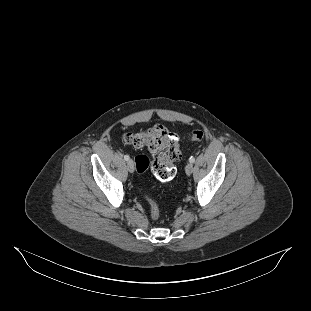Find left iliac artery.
Here are the masks:
<instances>
[{
    "mask_svg": "<svg viewBox=\"0 0 311 311\" xmlns=\"http://www.w3.org/2000/svg\"><path fill=\"white\" fill-rule=\"evenodd\" d=\"M189 161H190V163H193V162L195 161V158H194L193 156H191V157L189 158Z\"/></svg>",
    "mask_w": 311,
    "mask_h": 311,
    "instance_id": "obj_1",
    "label": "left iliac artery"
}]
</instances>
